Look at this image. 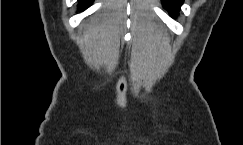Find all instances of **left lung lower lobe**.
<instances>
[{
	"mask_svg": "<svg viewBox=\"0 0 243 145\" xmlns=\"http://www.w3.org/2000/svg\"><path fill=\"white\" fill-rule=\"evenodd\" d=\"M183 0H162L165 9L171 14L176 15L182 5Z\"/></svg>",
	"mask_w": 243,
	"mask_h": 145,
	"instance_id": "1",
	"label": "left lung lower lobe"
}]
</instances>
